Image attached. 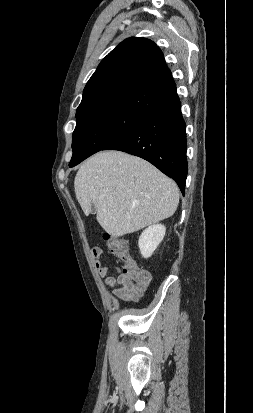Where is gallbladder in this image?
Returning a JSON list of instances; mask_svg holds the SVG:
<instances>
[{"mask_svg": "<svg viewBox=\"0 0 253 413\" xmlns=\"http://www.w3.org/2000/svg\"><path fill=\"white\" fill-rule=\"evenodd\" d=\"M95 212H96V209H95V206L93 205V206H92L91 213H92V214H95Z\"/></svg>", "mask_w": 253, "mask_h": 413, "instance_id": "obj_1", "label": "gallbladder"}]
</instances>
